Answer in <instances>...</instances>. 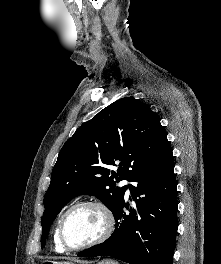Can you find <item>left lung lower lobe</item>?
Here are the masks:
<instances>
[{"label":"left lung lower lobe","instance_id":"obj_1","mask_svg":"<svg viewBox=\"0 0 221 264\" xmlns=\"http://www.w3.org/2000/svg\"><path fill=\"white\" fill-rule=\"evenodd\" d=\"M130 181L136 183L129 185L136 208L125 204L123 198L113 212V234L78 256L106 255L130 264H173L178 203L172 149L167 140L154 160Z\"/></svg>","mask_w":221,"mask_h":264}]
</instances>
